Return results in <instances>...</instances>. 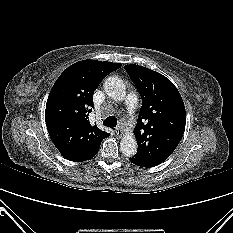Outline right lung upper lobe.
<instances>
[{
  "instance_id": "1",
  "label": "right lung upper lobe",
  "mask_w": 233,
  "mask_h": 233,
  "mask_svg": "<svg viewBox=\"0 0 233 233\" xmlns=\"http://www.w3.org/2000/svg\"><path fill=\"white\" fill-rule=\"evenodd\" d=\"M122 64L82 60L69 66L56 80L46 103L48 133L62 156L70 161L93 158L102 140L109 136L88 115L93 93L100 82Z\"/></svg>"
}]
</instances>
